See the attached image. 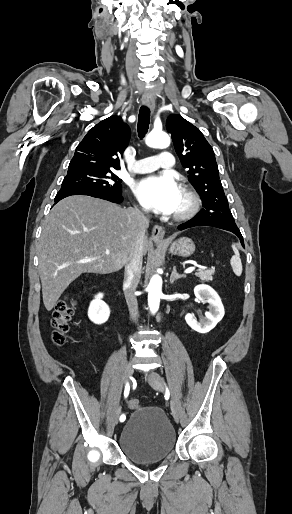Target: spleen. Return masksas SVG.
<instances>
[{
	"instance_id": "spleen-1",
	"label": "spleen",
	"mask_w": 292,
	"mask_h": 514,
	"mask_svg": "<svg viewBox=\"0 0 292 514\" xmlns=\"http://www.w3.org/2000/svg\"><path fill=\"white\" fill-rule=\"evenodd\" d=\"M232 250L235 254V256H232L231 260H230V264L232 266V270L234 272V274H236V276H241L242 274V262H241V258H240V254L236 248V246H232Z\"/></svg>"
}]
</instances>
